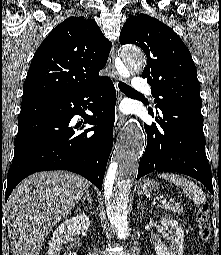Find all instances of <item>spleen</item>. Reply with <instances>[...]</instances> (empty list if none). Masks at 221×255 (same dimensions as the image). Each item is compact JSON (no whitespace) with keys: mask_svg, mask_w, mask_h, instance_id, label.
Returning a JSON list of instances; mask_svg holds the SVG:
<instances>
[{"mask_svg":"<svg viewBox=\"0 0 221 255\" xmlns=\"http://www.w3.org/2000/svg\"><path fill=\"white\" fill-rule=\"evenodd\" d=\"M160 178L168 180L169 182L179 186L183 189V192L191 198L194 203L202 204L205 202V195L203 191L192 181H189L183 176H179L173 173H164L158 175Z\"/></svg>","mask_w":221,"mask_h":255,"instance_id":"spleen-1","label":"spleen"}]
</instances>
